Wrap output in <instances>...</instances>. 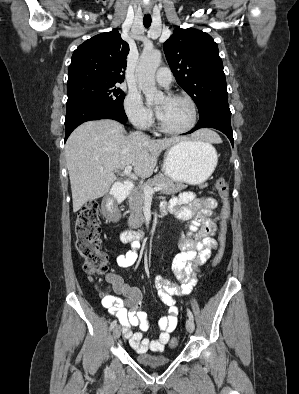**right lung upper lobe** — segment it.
I'll list each match as a JSON object with an SVG mask.
<instances>
[{
  "label": "right lung upper lobe",
  "mask_w": 299,
  "mask_h": 394,
  "mask_svg": "<svg viewBox=\"0 0 299 394\" xmlns=\"http://www.w3.org/2000/svg\"><path fill=\"white\" fill-rule=\"evenodd\" d=\"M128 53L129 45L117 30L86 40L72 55L68 87L92 82H123Z\"/></svg>",
  "instance_id": "1"
}]
</instances>
